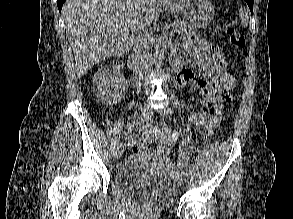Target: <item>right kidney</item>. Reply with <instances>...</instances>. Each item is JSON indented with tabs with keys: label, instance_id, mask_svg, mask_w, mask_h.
Listing matches in <instances>:
<instances>
[{
	"label": "right kidney",
	"instance_id": "1",
	"mask_svg": "<svg viewBox=\"0 0 293 219\" xmlns=\"http://www.w3.org/2000/svg\"><path fill=\"white\" fill-rule=\"evenodd\" d=\"M93 83L96 97L106 104H111L122 97L127 88V82L119 66L114 64L99 68L94 75Z\"/></svg>",
	"mask_w": 293,
	"mask_h": 219
}]
</instances>
